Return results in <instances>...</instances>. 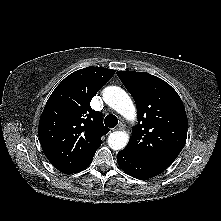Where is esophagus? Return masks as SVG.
I'll list each match as a JSON object with an SVG mask.
<instances>
[{
  "label": "esophagus",
  "instance_id": "34e87169",
  "mask_svg": "<svg viewBox=\"0 0 221 221\" xmlns=\"http://www.w3.org/2000/svg\"><path fill=\"white\" fill-rule=\"evenodd\" d=\"M124 129V125L122 123H120L114 130L115 131H120Z\"/></svg>",
  "mask_w": 221,
  "mask_h": 221
}]
</instances>
